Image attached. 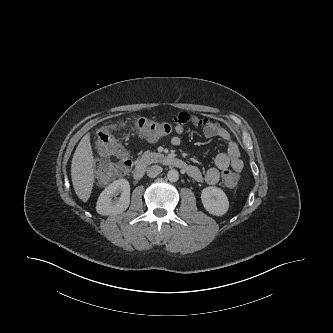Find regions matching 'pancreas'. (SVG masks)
Segmentation results:
<instances>
[{"label":"pancreas","mask_w":333,"mask_h":333,"mask_svg":"<svg viewBox=\"0 0 333 333\" xmlns=\"http://www.w3.org/2000/svg\"><path fill=\"white\" fill-rule=\"evenodd\" d=\"M163 157L162 154L156 152L145 151L141 158L149 163L158 162Z\"/></svg>","instance_id":"pancreas-1"}]
</instances>
